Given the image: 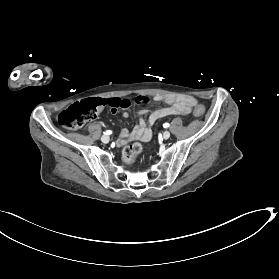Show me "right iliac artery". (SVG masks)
Segmentation results:
<instances>
[{"instance_id": "82829eb1", "label": "right iliac artery", "mask_w": 279, "mask_h": 279, "mask_svg": "<svg viewBox=\"0 0 279 279\" xmlns=\"http://www.w3.org/2000/svg\"><path fill=\"white\" fill-rule=\"evenodd\" d=\"M111 133H112V131H110V130H107V131L104 132V134H106V135H109Z\"/></svg>"}]
</instances>
